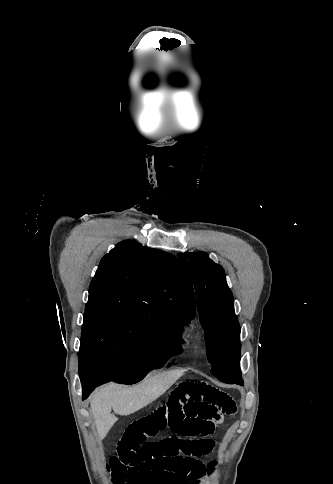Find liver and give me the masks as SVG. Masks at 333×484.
Masks as SVG:
<instances>
[{
  "instance_id": "1",
  "label": "liver",
  "mask_w": 333,
  "mask_h": 484,
  "mask_svg": "<svg viewBox=\"0 0 333 484\" xmlns=\"http://www.w3.org/2000/svg\"><path fill=\"white\" fill-rule=\"evenodd\" d=\"M184 373L173 370L151 377L135 386H123L109 383L97 388L90 400V409L94 415L99 439L102 440L119 415H130L146 407L165 393Z\"/></svg>"
}]
</instances>
